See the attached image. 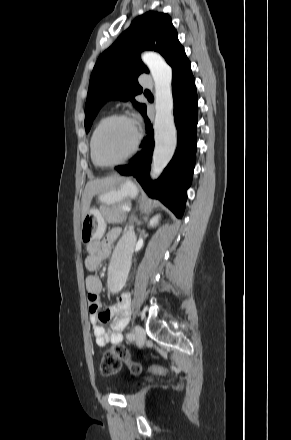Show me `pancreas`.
Segmentation results:
<instances>
[{
  "label": "pancreas",
  "mask_w": 291,
  "mask_h": 440,
  "mask_svg": "<svg viewBox=\"0 0 291 440\" xmlns=\"http://www.w3.org/2000/svg\"><path fill=\"white\" fill-rule=\"evenodd\" d=\"M123 204H117L113 206L100 207V212L107 223H118L126 218V214L122 209Z\"/></svg>",
  "instance_id": "pancreas-1"
}]
</instances>
